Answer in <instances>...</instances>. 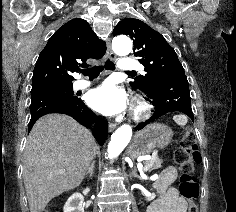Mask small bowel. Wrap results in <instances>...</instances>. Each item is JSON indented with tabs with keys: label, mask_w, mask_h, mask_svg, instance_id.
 <instances>
[{
	"label": "small bowel",
	"mask_w": 236,
	"mask_h": 212,
	"mask_svg": "<svg viewBox=\"0 0 236 212\" xmlns=\"http://www.w3.org/2000/svg\"><path fill=\"white\" fill-rule=\"evenodd\" d=\"M177 178L176 169L172 166L162 171L157 182L161 196L149 206L148 212H187V202L180 197L172 184Z\"/></svg>",
	"instance_id": "small-bowel-1"
}]
</instances>
